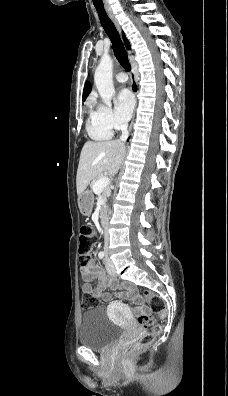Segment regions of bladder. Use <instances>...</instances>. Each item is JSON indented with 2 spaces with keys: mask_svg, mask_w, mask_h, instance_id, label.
Instances as JSON below:
<instances>
[{
  "mask_svg": "<svg viewBox=\"0 0 228 396\" xmlns=\"http://www.w3.org/2000/svg\"><path fill=\"white\" fill-rule=\"evenodd\" d=\"M122 333L123 329L107 317L103 308L90 309L82 316L79 342L92 350L104 351L118 341Z\"/></svg>",
  "mask_w": 228,
  "mask_h": 396,
  "instance_id": "1",
  "label": "bladder"
}]
</instances>
